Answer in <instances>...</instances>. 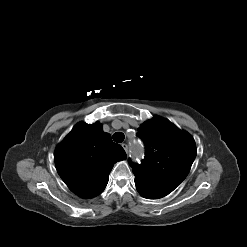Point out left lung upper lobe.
<instances>
[{"label":"left lung upper lobe","mask_w":247,"mask_h":247,"mask_svg":"<svg viewBox=\"0 0 247 247\" xmlns=\"http://www.w3.org/2000/svg\"><path fill=\"white\" fill-rule=\"evenodd\" d=\"M146 150L141 164L129 161L137 190L154 199L172 192L188 175L196 157L193 137L155 116L138 128Z\"/></svg>","instance_id":"left-lung-upper-lobe-1"}]
</instances>
